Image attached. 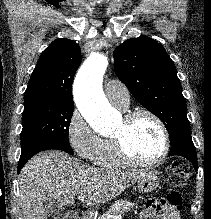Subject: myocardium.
I'll return each mask as SVG.
<instances>
[{"label":"myocardium","mask_w":211,"mask_h":219,"mask_svg":"<svg viewBox=\"0 0 211 219\" xmlns=\"http://www.w3.org/2000/svg\"><path fill=\"white\" fill-rule=\"evenodd\" d=\"M147 116L156 122L161 130L163 145L162 150L157 158L150 161H142L133 157L126 147L124 136L122 134L115 135L111 139L118 158L126 165L136 167H154L165 160L170 151V136L168 129L163 120L153 111L148 109H137L130 111L124 116V130H126L138 117Z\"/></svg>","instance_id":"1"}]
</instances>
